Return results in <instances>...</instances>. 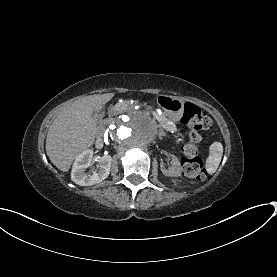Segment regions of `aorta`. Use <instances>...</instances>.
I'll return each instance as SVG.
<instances>
[{
    "label": "aorta",
    "instance_id": "aorta-1",
    "mask_svg": "<svg viewBox=\"0 0 277 277\" xmlns=\"http://www.w3.org/2000/svg\"><path fill=\"white\" fill-rule=\"evenodd\" d=\"M158 131L156 122L145 112L135 111L115 119L109 133L116 144L124 148H145Z\"/></svg>",
    "mask_w": 277,
    "mask_h": 277
}]
</instances>
